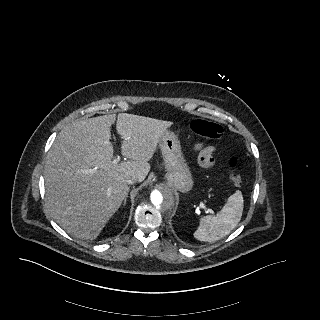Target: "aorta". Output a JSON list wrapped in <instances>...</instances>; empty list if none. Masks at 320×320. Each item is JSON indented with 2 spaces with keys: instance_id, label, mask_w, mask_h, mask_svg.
<instances>
[{
  "instance_id": "1",
  "label": "aorta",
  "mask_w": 320,
  "mask_h": 320,
  "mask_svg": "<svg viewBox=\"0 0 320 320\" xmlns=\"http://www.w3.org/2000/svg\"><path fill=\"white\" fill-rule=\"evenodd\" d=\"M175 197L168 186L155 189L150 194V209L157 216H163L167 210H172Z\"/></svg>"
}]
</instances>
